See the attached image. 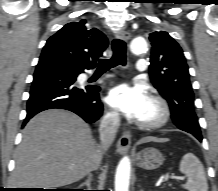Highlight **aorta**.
I'll list each match as a JSON object with an SVG mask.
<instances>
[{"instance_id":"obj_1","label":"aorta","mask_w":218,"mask_h":191,"mask_svg":"<svg viewBox=\"0 0 218 191\" xmlns=\"http://www.w3.org/2000/svg\"><path fill=\"white\" fill-rule=\"evenodd\" d=\"M130 50L134 54H140L147 50V42L144 38H135L130 43ZM130 159L122 158L119 162L115 175V191H128L130 179Z\"/></svg>"}]
</instances>
